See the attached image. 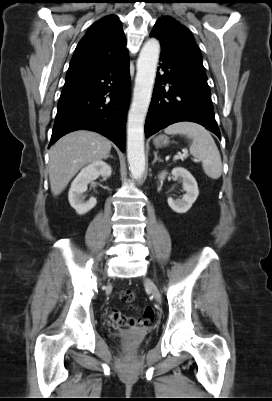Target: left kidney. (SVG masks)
<instances>
[{"label":"left kidney","mask_w":272,"mask_h":401,"mask_svg":"<svg viewBox=\"0 0 272 401\" xmlns=\"http://www.w3.org/2000/svg\"><path fill=\"white\" fill-rule=\"evenodd\" d=\"M166 175L167 172L164 171L158 177L163 181ZM172 175L182 180V186L186 191V194L182 199L173 200L172 198H168V205L177 213H186L192 207V204L196 201L199 195L197 182L191 173L182 167L174 168L172 170Z\"/></svg>","instance_id":"1"}]
</instances>
